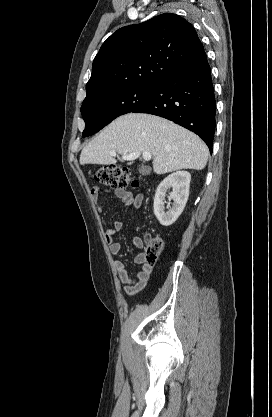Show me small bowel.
Masks as SVG:
<instances>
[{
    "label": "small bowel",
    "mask_w": 272,
    "mask_h": 417,
    "mask_svg": "<svg viewBox=\"0 0 272 417\" xmlns=\"http://www.w3.org/2000/svg\"><path fill=\"white\" fill-rule=\"evenodd\" d=\"M103 192L104 191L100 187L94 186L91 189V196L94 200H98L100 194ZM114 194L125 206L139 209L143 204L144 197L142 194H133L124 188H116L114 190ZM98 211L101 212V208H99ZM121 229L122 222L116 221L111 227L107 228L104 233L106 242L109 246V250L114 255L119 254L122 249L121 244L114 239ZM132 244L138 249L143 248L144 245L143 240L140 237H134L132 239ZM134 262L136 264L142 265L141 269L136 273L134 277L129 274L125 263L122 261L114 262L117 277L122 284L121 289L126 295L129 296L139 293L146 287L152 271L151 265L144 263V255L142 253H139L135 256Z\"/></svg>",
    "instance_id": "c3829d8e"
}]
</instances>
